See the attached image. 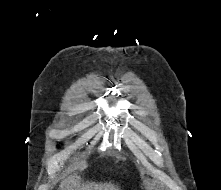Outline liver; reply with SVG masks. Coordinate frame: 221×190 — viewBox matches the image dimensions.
Here are the masks:
<instances>
[{
  "instance_id": "1",
  "label": "liver",
  "mask_w": 221,
  "mask_h": 190,
  "mask_svg": "<svg viewBox=\"0 0 221 190\" xmlns=\"http://www.w3.org/2000/svg\"><path fill=\"white\" fill-rule=\"evenodd\" d=\"M59 190H119V188L111 183L84 182L79 175L73 174L60 183Z\"/></svg>"
}]
</instances>
